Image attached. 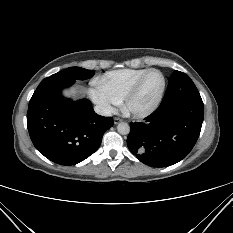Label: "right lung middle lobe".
<instances>
[{
  "label": "right lung middle lobe",
  "instance_id": "obj_1",
  "mask_svg": "<svg viewBox=\"0 0 233 233\" xmlns=\"http://www.w3.org/2000/svg\"><path fill=\"white\" fill-rule=\"evenodd\" d=\"M94 73V70H87L80 67H70L56 74H53L52 76L72 80H86L93 77Z\"/></svg>",
  "mask_w": 233,
  "mask_h": 233
}]
</instances>
